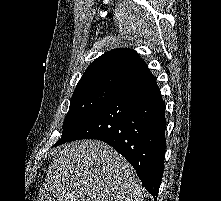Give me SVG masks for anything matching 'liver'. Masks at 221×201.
Returning a JSON list of instances; mask_svg holds the SVG:
<instances>
[{"instance_id": "1", "label": "liver", "mask_w": 221, "mask_h": 201, "mask_svg": "<svg viewBox=\"0 0 221 201\" xmlns=\"http://www.w3.org/2000/svg\"><path fill=\"white\" fill-rule=\"evenodd\" d=\"M39 196L41 201H143L132 166L98 140L58 148Z\"/></svg>"}]
</instances>
